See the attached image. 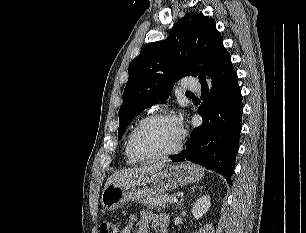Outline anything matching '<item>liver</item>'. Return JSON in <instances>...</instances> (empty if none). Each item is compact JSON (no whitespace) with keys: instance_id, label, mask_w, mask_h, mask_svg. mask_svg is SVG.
<instances>
[{"instance_id":"liver-1","label":"liver","mask_w":306,"mask_h":233,"mask_svg":"<svg viewBox=\"0 0 306 233\" xmlns=\"http://www.w3.org/2000/svg\"><path fill=\"white\" fill-rule=\"evenodd\" d=\"M165 166H166V161H161V162H158L150 166L126 169V170H122L119 172H115L108 178L105 184V188L114 182L130 179V178H136V177H139L141 175H144L150 172L162 170Z\"/></svg>"}]
</instances>
